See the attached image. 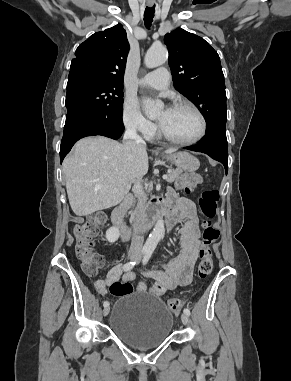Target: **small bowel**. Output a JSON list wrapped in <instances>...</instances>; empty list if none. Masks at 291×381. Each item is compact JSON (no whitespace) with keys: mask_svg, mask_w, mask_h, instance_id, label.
<instances>
[{"mask_svg":"<svg viewBox=\"0 0 291 381\" xmlns=\"http://www.w3.org/2000/svg\"><path fill=\"white\" fill-rule=\"evenodd\" d=\"M165 204L167 206V223L171 229L181 221L184 222L179 230L181 251L177 257L168 261L162 268L144 272V276L151 278L153 283L147 286L145 283L139 282L137 289L155 296H162L169 290L191 282L199 248L198 217L193 202L178 198L173 192H170ZM135 278V273H123L121 265L118 264L108 271L105 279L95 283V288L99 293L105 295L107 286L112 283L119 280L131 282Z\"/></svg>","mask_w":291,"mask_h":381,"instance_id":"small-bowel-1","label":"small bowel"}]
</instances>
